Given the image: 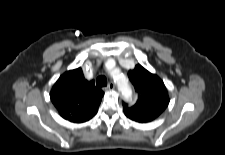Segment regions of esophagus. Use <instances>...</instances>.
I'll return each instance as SVG.
<instances>
[{
	"label": "esophagus",
	"instance_id": "34e87169",
	"mask_svg": "<svg viewBox=\"0 0 225 155\" xmlns=\"http://www.w3.org/2000/svg\"><path fill=\"white\" fill-rule=\"evenodd\" d=\"M115 89V84L113 82H110L108 86L106 87V90H114Z\"/></svg>",
	"mask_w": 225,
	"mask_h": 155
}]
</instances>
